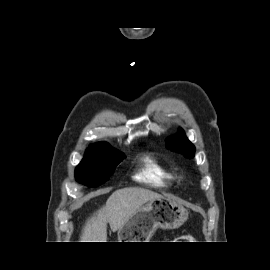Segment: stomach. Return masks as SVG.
Wrapping results in <instances>:
<instances>
[{"label": "stomach", "instance_id": "1", "mask_svg": "<svg viewBox=\"0 0 270 270\" xmlns=\"http://www.w3.org/2000/svg\"><path fill=\"white\" fill-rule=\"evenodd\" d=\"M188 219L187 209L169 197L147 202L118 230L119 242H149L157 228L176 229Z\"/></svg>", "mask_w": 270, "mask_h": 270}]
</instances>
